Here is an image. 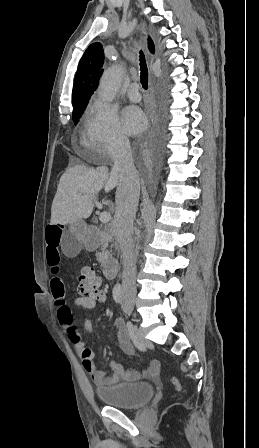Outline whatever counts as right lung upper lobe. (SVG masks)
Here are the masks:
<instances>
[{"instance_id":"cb5924a9","label":"right lung upper lobe","mask_w":259,"mask_h":448,"mask_svg":"<svg viewBox=\"0 0 259 448\" xmlns=\"http://www.w3.org/2000/svg\"><path fill=\"white\" fill-rule=\"evenodd\" d=\"M148 48L154 53L155 47L148 38ZM104 54L102 45L98 42L91 44L84 52L75 75L73 85L74 110L86 108L90 96L94 93L102 74Z\"/></svg>"}]
</instances>
